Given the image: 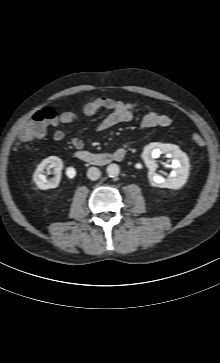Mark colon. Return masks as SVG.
I'll return each mask as SVG.
<instances>
[{
  "instance_id": "obj_1",
  "label": "colon",
  "mask_w": 220,
  "mask_h": 363,
  "mask_svg": "<svg viewBox=\"0 0 220 363\" xmlns=\"http://www.w3.org/2000/svg\"><path fill=\"white\" fill-rule=\"evenodd\" d=\"M57 118L53 107L47 106L37 110L23 125L19 132L22 141H31L42 137L48 127ZM192 141L198 146H203L205 140L200 134H194Z\"/></svg>"
}]
</instances>
